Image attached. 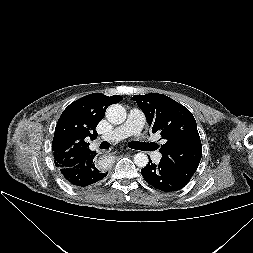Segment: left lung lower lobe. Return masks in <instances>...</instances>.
I'll list each match as a JSON object with an SVG mask.
<instances>
[{
  "instance_id": "obj_1",
  "label": "left lung lower lobe",
  "mask_w": 253,
  "mask_h": 253,
  "mask_svg": "<svg viewBox=\"0 0 253 253\" xmlns=\"http://www.w3.org/2000/svg\"><path fill=\"white\" fill-rule=\"evenodd\" d=\"M141 174L148 184L164 192L182 189L189 182L173 173L162 162L156 165L151 160L146 167L141 169Z\"/></svg>"
}]
</instances>
